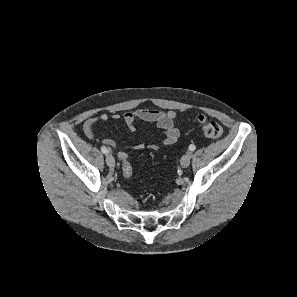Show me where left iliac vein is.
Wrapping results in <instances>:
<instances>
[{
    "label": "left iliac vein",
    "mask_w": 297,
    "mask_h": 297,
    "mask_svg": "<svg viewBox=\"0 0 297 297\" xmlns=\"http://www.w3.org/2000/svg\"><path fill=\"white\" fill-rule=\"evenodd\" d=\"M191 156H192L191 152H188L187 154L182 156L180 163L183 168H187L189 166Z\"/></svg>",
    "instance_id": "1"
}]
</instances>
